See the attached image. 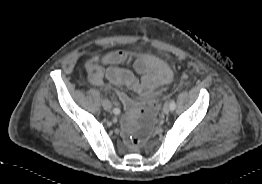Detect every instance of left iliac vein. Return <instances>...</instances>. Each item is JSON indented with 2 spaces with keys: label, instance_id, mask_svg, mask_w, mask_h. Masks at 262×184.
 <instances>
[{
  "label": "left iliac vein",
  "instance_id": "left-iliac-vein-1",
  "mask_svg": "<svg viewBox=\"0 0 262 184\" xmlns=\"http://www.w3.org/2000/svg\"><path fill=\"white\" fill-rule=\"evenodd\" d=\"M169 111H170V106H169L168 103H165L163 108H162V112H163V114H168Z\"/></svg>",
  "mask_w": 262,
  "mask_h": 184
}]
</instances>
